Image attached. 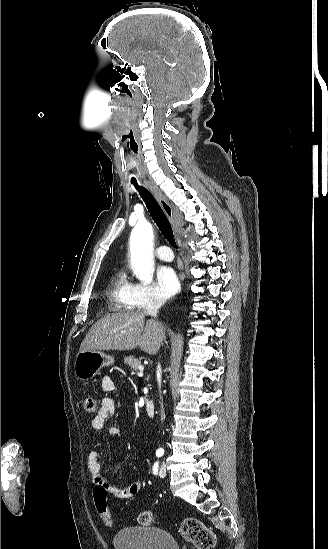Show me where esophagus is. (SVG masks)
Listing matches in <instances>:
<instances>
[{
    "instance_id": "34e87169",
    "label": "esophagus",
    "mask_w": 328,
    "mask_h": 549,
    "mask_svg": "<svg viewBox=\"0 0 328 549\" xmlns=\"http://www.w3.org/2000/svg\"><path fill=\"white\" fill-rule=\"evenodd\" d=\"M144 184L147 187V189L151 192L153 197L157 200L158 204L161 206V209H163V212L165 213L166 217L168 218L169 222L172 225L174 235L177 238L179 234V222H178V216L169 202V200L164 197V195L160 192V190L155 187L151 182L148 180H144Z\"/></svg>"
}]
</instances>
